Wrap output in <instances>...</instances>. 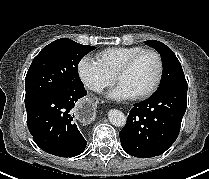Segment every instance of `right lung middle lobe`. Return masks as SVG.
<instances>
[{
  "instance_id": "obj_1",
  "label": "right lung middle lobe",
  "mask_w": 209,
  "mask_h": 179,
  "mask_svg": "<svg viewBox=\"0 0 209 179\" xmlns=\"http://www.w3.org/2000/svg\"><path fill=\"white\" fill-rule=\"evenodd\" d=\"M94 49V46L67 38L44 47L33 59L25 77L26 110L53 93L83 88L77 67L80 60Z\"/></svg>"
}]
</instances>
